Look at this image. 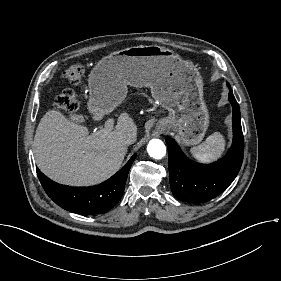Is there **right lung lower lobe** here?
I'll return each instance as SVG.
<instances>
[{"instance_id": "right-lung-lower-lobe-1", "label": "right lung lower lobe", "mask_w": 281, "mask_h": 281, "mask_svg": "<svg viewBox=\"0 0 281 281\" xmlns=\"http://www.w3.org/2000/svg\"><path fill=\"white\" fill-rule=\"evenodd\" d=\"M130 160L111 178L90 188L72 189L61 187L47 180L38 170V178L48 196L67 211L91 215L102 214L113 208L122 197L130 167Z\"/></svg>"}]
</instances>
